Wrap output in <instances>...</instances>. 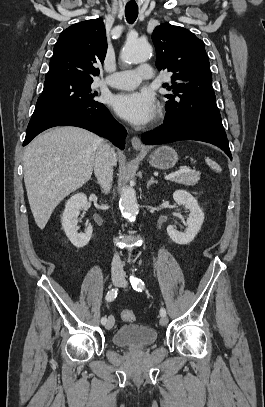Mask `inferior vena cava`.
I'll use <instances>...</instances> for the list:
<instances>
[{
    "label": "inferior vena cava",
    "mask_w": 265,
    "mask_h": 407,
    "mask_svg": "<svg viewBox=\"0 0 265 407\" xmlns=\"http://www.w3.org/2000/svg\"><path fill=\"white\" fill-rule=\"evenodd\" d=\"M114 159V149L108 144H103L95 159L94 172L105 193H108L112 186ZM111 273L112 277L124 278L123 265L117 253L112 260Z\"/></svg>",
    "instance_id": "obj_1"
}]
</instances>
